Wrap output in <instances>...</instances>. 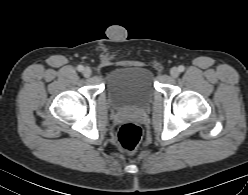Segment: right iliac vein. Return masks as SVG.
I'll use <instances>...</instances> for the list:
<instances>
[{
    "label": "right iliac vein",
    "instance_id": "1",
    "mask_svg": "<svg viewBox=\"0 0 248 195\" xmlns=\"http://www.w3.org/2000/svg\"><path fill=\"white\" fill-rule=\"evenodd\" d=\"M91 74H92V70H91L89 67H85V68L83 69V75H84L85 77H89V76H91Z\"/></svg>",
    "mask_w": 248,
    "mask_h": 195
}]
</instances>
